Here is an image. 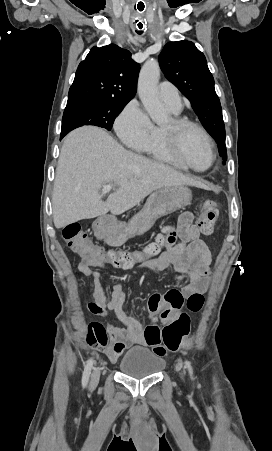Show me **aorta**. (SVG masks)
Masks as SVG:
<instances>
[{
	"label": "aorta",
	"instance_id": "aorta-1",
	"mask_svg": "<svg viewBox=\"0 0 272 451\" xmlns=\"http://www.w3.org/2000/svg\"><path fill=\"white\" fill-rule=\"evenodd\" d=\"M160 78V68L157 60H146L143 64L138 80L139 98L147 110L152 122L164 124L168 116L164 112V104L158 96V82Z\"/></svg>",
	"mask_w": 272,
	"mask_h": 451
}]
</instances>
